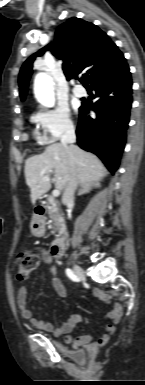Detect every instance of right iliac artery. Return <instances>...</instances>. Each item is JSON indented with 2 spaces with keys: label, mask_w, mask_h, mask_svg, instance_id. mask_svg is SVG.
<instances>
[{
  "label": "right iliac artery",
  "mask_w": 145,
  "mask_h": 385,
  "mask_svg": "<svg viewBox=\"0 0 145 385\" xmlns=\"http://www.w3.org/2000/svg\"><path fill=\"white\" fill-rule=\"evenodd\" d=\"M66 274H67V276H68L72 281H77V276L74 274V272H73L71 269L67 268V269H66Z\"/></svg>",
  "instance_id": "obj_1"
}]
</instances>
